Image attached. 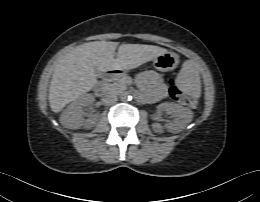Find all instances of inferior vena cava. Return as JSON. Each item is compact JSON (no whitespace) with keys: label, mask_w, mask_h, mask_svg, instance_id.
Segmentation results:
<instances>
[{"label":"inferior vena cava","mask_w":260,"mask_h":202,"mask_svg":"<svg viewBox=\"0 0 260 202\" xmlns=\"http://www.w3.org/2000/svg\"><path fill=\"white\" fill-rule=\"evenodd\" d=\"M105 105H113L118 101V98L114 94H107L102 99Z\"/></svg>","instance_id":"inferior-vena-cava-1"}]
</instances>
